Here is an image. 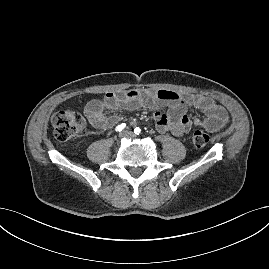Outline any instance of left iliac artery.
<instances>
[{
  "label": "left iliac artery",
  "mask_w": 269,
  "mask_h": 269,
  "mask_svg": "<svg viewBox=\"0 0 269 269\" xmlns=\"http://www.w3.org/2000/svg\"><path fill=\"white\" fill-rule=\"evenodd\" d=\"M134 133H135L136 135H139V134L141 133V129H140L139 127H136V128L134 129Z\"/></svg>",
  "instance_id": "obj_1"
}]
</instances>
